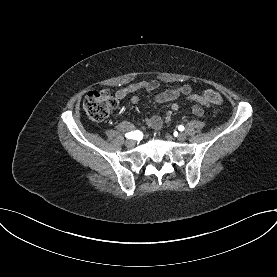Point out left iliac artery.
<instances>
[{
    "instance_id": "1",
    "label": "left iliac artery",
    "mask_w": 277,
    "mask_h": 277,
    "mask_svg": "<svg viewBox=\"0 0 277 277\" xmlns=\"http://www.w3.org/2000/svg\"><path fill=\"white\" fill-rule=\"evenodd\" d=\"M178 129H179L180 131H183V130H184V126L180 125V126L178 127Z\"/></svg>"
}]
</instances>
